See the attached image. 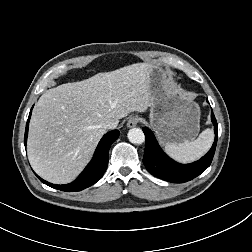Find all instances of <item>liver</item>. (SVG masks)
<instances>
[{
  "label": "liver",
  "instance_id": "1",
  "mask_svg": "<svg viewBox=\"0 0 252 252\" xmlns=\"http://www.w3.org/2000/svg\"><path fill=\"white\" fill-rule=\"evenodd\" d=\"M146 63H137L86 80L47 90L35 104L27 153L43 179L65 184L86 166L105 134L102 124L119 123L152 105Z\"/></svg>",
  "mask_w": 252,
  "mask_h": 252
}]
</instances>
